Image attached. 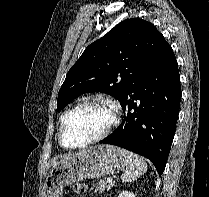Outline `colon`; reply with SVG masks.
<instances>
[{
  "label": "colon",
  "mask_w": 209,
  "mask_h": 197,
  "mask_svg": "<svg viewBox=\"0 0 209 197\" xmlns=\"http://www.w3.org/2000/svg\"><path fill=\"white\" fill-rule=\"evenodd\" d=\"M74 192L77 194L83 193L85 191V186L83 184H77L74 186Z\"/></svg>",
  "instance_id": "obj_1"
}]
</instances>
